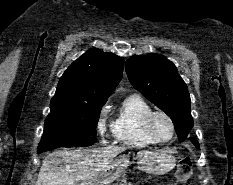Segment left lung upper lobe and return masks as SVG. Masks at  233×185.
Returning <instances> with one entry per match:
<instances>
[{
  "label": "left lung upper lobe",
  "instance_id": "5c2ea615",
  "mask_svg": "<svg viewBox=\"0 0 233 185\" xmlns=\"http://www.w3.org/2000/svg\"><path fill=\"white\" fill-rule=\"evenodd\" d=\"M131 84L173 121L179 141L193 127L187 85L175 65L159 54L134 55L125 64Z\"/></svg>",
  "mask_w": 233,
  "mask_h": 185
}]
</instances>
